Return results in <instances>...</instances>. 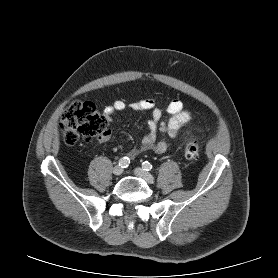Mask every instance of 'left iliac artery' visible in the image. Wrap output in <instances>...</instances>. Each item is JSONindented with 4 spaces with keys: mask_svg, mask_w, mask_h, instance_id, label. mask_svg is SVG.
Instances as JSON below:
<instances>
[{
    "mask_svg": "<svg viewBox=\"0 0 278 278\" xmlns=\"http://www.w3.org/2000/svg\"><path fill=\"white\" fill-rule=\"evenodd\" d=\"M142 167H143L144 170L150 171L152 169V164L148 161H144L142 163Z\"/></svg>",
    "mask_w": 278,
    "mask_h": 278,
    "instance_id": "obj_1",
    "label": "left iliac artery"
}]
</instances>
